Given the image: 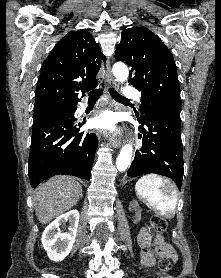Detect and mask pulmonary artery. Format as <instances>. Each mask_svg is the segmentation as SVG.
Instances as JSON below:
<instances>
[{
    "label": "pulmonary artery",
    "mask_w": 221,
    "mask_h": 278,
    "mask_svg": "<svg viewBox=\"0 0 221 278\" xmlns=\"http://www.w3.org/2000/svg\"><path fill=\"white\" fill-rule=\"evenodd\" d=\"M124 96L126 98H135L139 99L140 98V92L134 87H126L124 90ZM86 106H84L85 108Z\"/></svg>",
    "instance_id": "1"
}]
</instances>
